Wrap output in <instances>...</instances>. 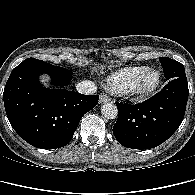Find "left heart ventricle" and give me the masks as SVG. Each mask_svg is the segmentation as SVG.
Returning a JSON list of instances; mask_svg holds the SVG:
<instances>
[{
    "mask_svg": "<svg viewBox=\"0 0 195 195\" xmlns=\"http://www.w3.org/2000/svg\"><path fill=\"white\" fill-rule=\"evenodd\" d=\"M154 82L155 76L153 74H146L140 79L138 86L140 88H147L151 86Z\"/></svg>",
    "mask_w": 195,
    "mask_h": 195,
    "instance_id": "b2bd125f",
    "label": "left heart ventricle"
}]
</instances>
